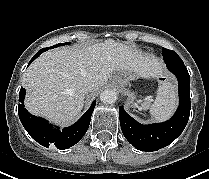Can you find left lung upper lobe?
Returning a JSON list of instances; mask_svg holds the SVG:
<instances>
[{
  "mask_svg": "<svg viewBox=\"0 0 209 179\" xmlns=\"http://www.w3.org/2000/svg\"><path fill=\"white\" fill-rule=\"evenodd\" d=\"M163 58L165 63L167 62L174 63L181 60V58L176 54V52L172 50H168L166 48H163Z\"/></svg>",
  "mask_w": 209,
  "mask_h": 179,
  "instance_id": "1",
  "label": "left lung upper lobe"
}]
</instances>
